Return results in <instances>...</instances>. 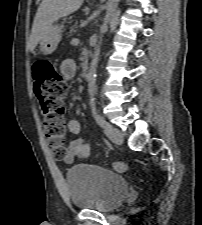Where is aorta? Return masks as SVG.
Masks as SVG:
<instances>
[{
    "mask_svg": "<svg viewBox=\"0 0 202 225\" xmlns=\"http://www.w3.org/2000/svg\"><path fill=\"white\" fill-rule=\"evenodd\" d=\"M119 1L120 0H108V2H107L106 15H105L103 23L100 27V33H101L100 41L95 46V51H94V54L92 56V60H91V63H90V69H89V72H88V75H87V78H88V93H89L91 101L94 100V95H95V92H96V71H97V64H98V60H99V56H100V47H101L102 37H103V34L108 29V22L110 20V17L112 15V13L116 9Z\"/></svg>",
    "mask_w": 202,
    "mask_h": 225,
    "instance_id": "obj_1",
    "label": "aorta"
}]
</instances>
